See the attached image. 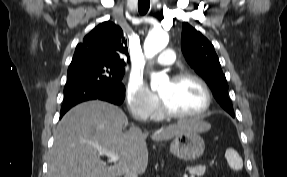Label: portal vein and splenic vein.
I'll list each match as a JSON object with an SVG mask.
<instances>
[{
	"instance_id": "1",
	"label": "portal vein and splenic vein",
	"mask_w": 287,
	"mask_h": 177,
	"mask_svg": "<svg viewBox=\"0 0 287 177\" xmlns=\"http://www.w3.org/2000/svg\"><path fill=\"white\" fill-rule=\"evenodd\" d=\"M98 153L106 155L107 157L110 158L111 162H117L119 160V156L109 150L103 149V148H98ZM187 177V176H185Z\"/></svg>"
}]
</instances>
